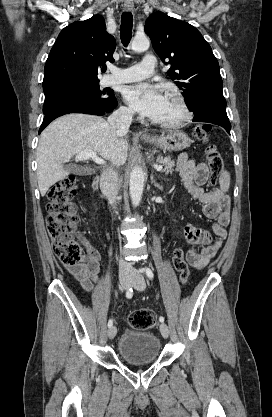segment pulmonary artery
Listing matches in <instances>:
<instances>
[{
    "label": "pulmonary artery",
    "mask_w": 272,
    "mask_h": 417,
    "mask_svg": "<svg viewBox=\"0 0 272 417\" xmlns=\"http://www.w3.org/2000/svg\"><path fill=\"white\" fill-rule=\"evenodd\" d=\"M156 59L153 55H145L143 60L125 69H115L112 75L106 78L107 85L129 83L145 79L154 73Z\"/></svg>",
    "instance_id": "pulmonary-artery-1"
}]
</instances>
